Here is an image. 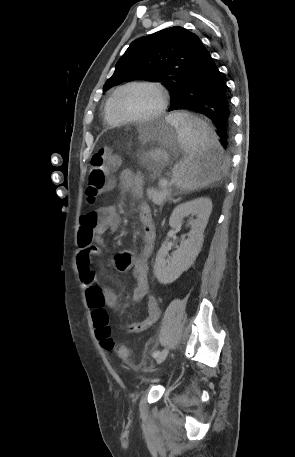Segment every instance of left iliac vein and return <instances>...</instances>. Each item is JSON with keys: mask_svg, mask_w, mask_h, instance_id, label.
<instances>
[{"mask_svg": "<svg viewBox=\"0 0 295 457\" xmlns=\"http://www.w3.org/2000/svg\"><path fill=\"white\" fill-rule=\"evenodd\" d=\"M168 352H169L168 349H164L160 352V354L156 358L157 364L162 363L166 359Z\"/></svg>", "mask_w": 295, "mask_h": 457, "instance_id": "obj_1", "label": "left iliac vein"}]
</instances>
